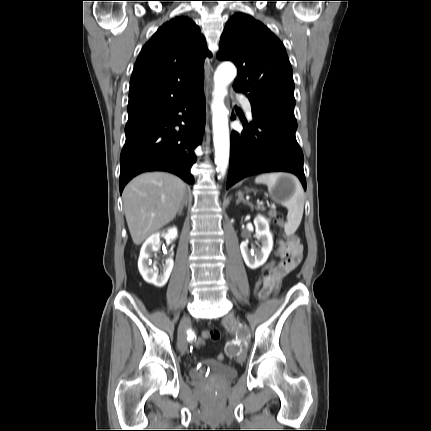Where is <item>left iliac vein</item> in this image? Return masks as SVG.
I'll return each instance as SVG.
<instances>
[{
	"mask_svg": "<svg viewBox=\"0 0 431 431\" xmlns=\"http://www.w3.org/2000/svg\"><path fill=\"white\" fill-rule=\"evenodd\" d=\"M224 323L227 325H237L238 319L236 318V316L233 313H228L224 317ZM241 338L244 340V334L243 333H241ZM246 356H247V350H246V348H244L240 352V354L237 356V362L242 364L246 360Z\"/></svg>",
	"mask_w": 431,
	"mask_h": 431,
	"instance_id": "obj_1",
	"label": "left iliac vein"
}]
</instances>
